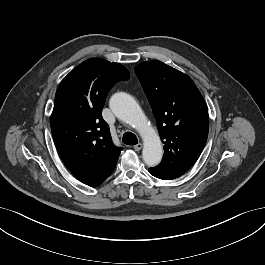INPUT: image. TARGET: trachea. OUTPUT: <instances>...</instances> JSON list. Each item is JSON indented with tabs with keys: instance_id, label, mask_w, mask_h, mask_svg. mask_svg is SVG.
I'll return each instance as SVG.
<instances>
[{
	"instance_id": "obj_1",
	"label": "trachea",
	"mask_w": 265,
	"mask_h": 265,
	"mask_svg": "<svg viewBox=\"0 0 265 265\" xmlns=\"http://www.w3.org/2000/svg\"><path fill=\"white\" fill-rule=\"evenodd\" d=\"M122 142L127 145H136L138 143V139L133 133L126 132L123 135Z\"/></svg>"
}]
</instances>
